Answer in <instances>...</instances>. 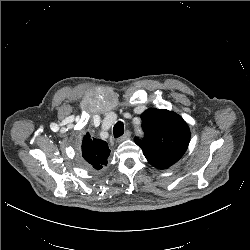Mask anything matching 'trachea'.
Wrapping results in <instances>:
<instances>
[{"label":"trachea","instance_id":"obj_1","mask_svg":"<svg viewBox=\"0 0 250 250\" xmlns=\"http://www.w3.org/2000/svg\"><path fill=\"white\" fill-rule=\"evenodd\" d=\"M124 133V125L121 121L117 122L113 128V135L115 138L122 136Z\"/></svg>","mask_w":250,"mask_h":250}]
</instances>
